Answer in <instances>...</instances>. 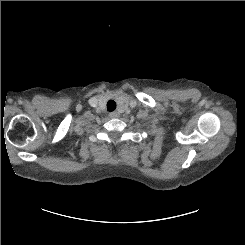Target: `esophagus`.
Masks as SVG:
<instances>
[{"mask_svg": "<svg viewBox=\"0 0 245 245\" xmlns=\"http://www.w3.org/2000/svg\"><path fill=\"white\" fill-rule=\"evenodd\" d=\"M109 117L112 118V119L118 118V117H119V114H118L117 112H111V113L109 114Z\"/></svg>", "mask_w": 245, "mask_h": 245, "instance_id": "34e87169", "label": "esophagus"}]
</instances>
